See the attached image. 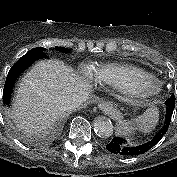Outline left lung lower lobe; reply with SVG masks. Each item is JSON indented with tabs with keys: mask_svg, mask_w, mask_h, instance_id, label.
<instances>
[{
	"mask_svg": "<svg viewBox=\"0 0 177 177\" xmlns=\"http://www.w3.org/2000/svg\"><path fill=\"white\" fill-rule=\"evenodd\" d=\"M165 105H166V115H165L164 126L151 141L136 147H124L123 144H125V140H123L120 137H114L111 140V142L107 144L106 149L111 153L125 155V156L139 155L150 150L154 145H156L162 139V137L168 130V127L171 122V117L174 111V107H175V100L174 101L173 99L166 100Z\"/></svg>",
	"mask_w": 177,
	"mask_h": 177,
	"instance_id": "0a47b994",
	"label": "left lung lower lobe"
}]
</instances>
